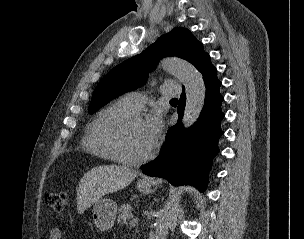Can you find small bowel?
<instances>
[{"mask_svg":"<svg viewBox=\"0 0 304 239\" xmlns=\"http://www.w3.org/2000/svg\"><path fill=\"white\" fill-rule=\"evenodd\" d=\"M63 234L60 228H53L49 233V239H62Z\"/></svg>","mask_w":304,"mask_h":239,"instance_id":"obj_1","label":"small bowel"}]
</instances>
